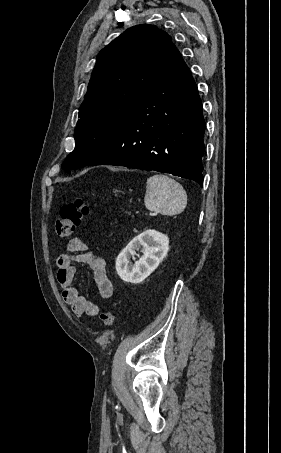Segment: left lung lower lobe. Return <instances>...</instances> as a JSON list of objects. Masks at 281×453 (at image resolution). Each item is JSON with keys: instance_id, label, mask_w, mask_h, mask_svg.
Segmentation results:
<instances>
[{"instance_id": "obj_1", "label": "left lung lower lobe", "mask_w": 281, "mask_h": 453, "mask_svg": "<svg viewBox=\"0 0 281 453\" xmlns=\"http://www.w3.org/2000/svg\"><path fill=\"white\" fill-rule=\"evenodd\" d=\"M205 121L197 86L174 46L134 112L87 166L171 173L203 184Z\"/></svg>"}]
</instances>
